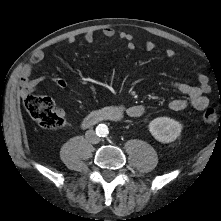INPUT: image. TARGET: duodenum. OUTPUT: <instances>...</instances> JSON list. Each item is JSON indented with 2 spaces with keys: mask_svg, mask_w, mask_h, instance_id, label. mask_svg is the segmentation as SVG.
Masks as SVG:
<instances>
[{
  "mask_svg": "<svg viewBox=\"0 0 221 221\" xmlns=\"http://www.w3.org/2000/svg\"><path fill=\"white\" fill-rule=\"evenodd\" d=\"M122 112L115 107H106L89 113L83 120L84 127L93 126L101 121H120Z\"/></svg>",
  "mask_w": 221,
  "mask_h": 221,
  "instance_id": "410a0bca",
  "label": "duodenum"
}]
</instances>
